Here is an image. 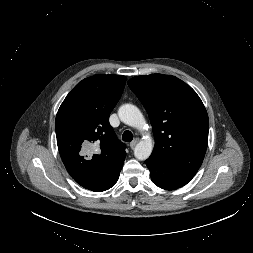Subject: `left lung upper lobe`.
<instances>
[{"label": "left lung upper lobe", "mask_w": 253, "mask_h": 253, "mask_svg": "<svg viewBox=\"0 0 253 253\" xmlns=\"http://www.w3.org/2000/svg\"><path fill=\"white\" fill-rule=\"evenodd\" d=\"M128 86L146 108L155 137L149 158L194 176L208 143L209 120L197 93L171 75L133 77Z\"/></svg>", "instance_id": "obj_1"}]
</instances>
